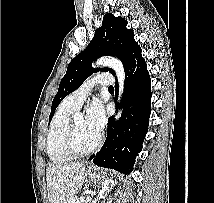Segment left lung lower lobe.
Returning a JSON list of instances; mask_svg holds the SVG:
<instances>
[{
  "label": "left lung lower lobe",
  "mask_w": 214,
  "mask_h": 203,
  "mask_svg": "<svg viewBox=\"0 0 214 203\" xmlns=\"http://www.w3.org/2000/svg\"><path fill=\"white\" fill-rule=\"evenodd\" d=\"M125 80L121 118L118 122L113 117L108 119L105 143L89 160L95 165L129 174L148 131L152 97L151 80L141 50L125 69Z\"/></svg>",
  "instance_id": "left-lung-lower-lobe-1"
}]
</instances>
